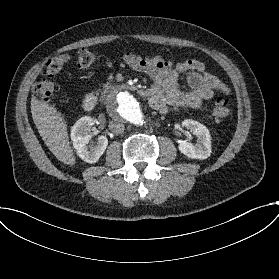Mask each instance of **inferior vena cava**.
Segmentation results:
<instances>
[{
	"label": "inferior vena cava",
	"instance_id": "inferior-vena-cava-1",
	"mask_svg": "<svg viewBox=\"0 0 279 279\" xmlns=\"http://www.w3.org/2000/svg\"><path fill=\"white\" fill-rule=\"evenodd\" d=\"M108 127H109L110 131L115 135L122 134V133H124V130H125L124 124L116 122V121L109 122Z\"/></svg>",
	"mask_w": 279,
	"mask_h": 279
}]
</instances>
